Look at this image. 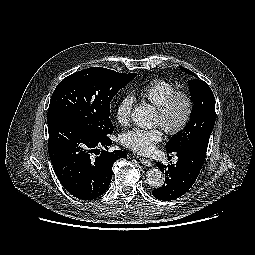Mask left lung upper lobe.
Returning a JSON list of instances; mask_svg holds the SVG:
<instances>
[{
    "label": "left lung upper lobe",
    "instance_id": "5c2ea615",
    "mask_svg": "<svg viewBox=\"0 0 255 255\" xmlns=\"http://www.w3.org/2000/svg\"><path fill=\"white\" fill-rule=\"evenodd\" d=\"M184 72L194 76L188 82L193 109L190 121L185 129L167 143L168 153L180 152L190 148H198L207 151L210 134L215 124V98L208 84L187 68Z\"/></svg>",
    "mask_w": 255,
    "mask_h": 255
}]
</instances>
